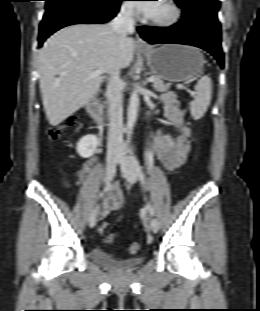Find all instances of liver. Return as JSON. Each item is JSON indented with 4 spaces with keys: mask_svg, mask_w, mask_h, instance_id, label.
<instances>
[{
    "mask_svg": "<svg viewBox=\"0 0 260 311\" xmlns=\"http://www.w3.org/2000/svg\"><path fill=\"white\" fill-rule=\"evenodd\" d=\"M134 42L119 36L110 24H76L52 35L39 53L40 91L49 124L57 126L86 105L103 76L130 65Z\"/></svg>",
    "mask_w": 260,
    "mask_h": 311,
    "instance_id": "1",
    "label": "liver"
}]
</instances>
